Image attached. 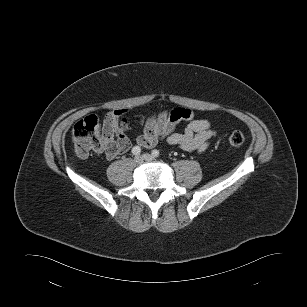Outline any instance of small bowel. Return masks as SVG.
I'll return each instance as SVG.
<instances>
[{
	"label": "small bowel",
	"instance_id": "c3829d8e",
	"mask_svg": "<svg viewBox=\"0 0 307 307\" xmlns=\"http://www.w3.org/2000/svg\"><path fill=\"white\" fill-rule=\"evenodd\" d=\"M127 110H116L105 117L104 135L108 145L105 155L108 159L126 153L131 147L130 139L112 117L125 114ZM180 122H186L184 132H176ZM216 132L205 119H195L190 109L178 107L151 115L145 122L142 134L136 136L137 145L152 148L164 139L170 145L185 151L203 152Z\"/></svg>",
	"mask_w": 307,
	"mask_h": 307
}]
</instances>
